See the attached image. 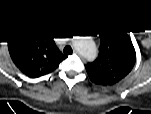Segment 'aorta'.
<instances>
[{"mask_svg":"<svg viewBox=\"0 0 151 114\" xmlns=\"http://www.w3.org/2000/svg\"><path fill=\"white\" fill-rule=\"evenodd\" d=\"M95 54H96V50H95V47L92 45L91 52H89V53L87 54V56H89V57H94Z\"/></svg>","mask_w":151,"mask_h":114,"instance_id":"obj_1","label":"aorta"}]
</instances>
